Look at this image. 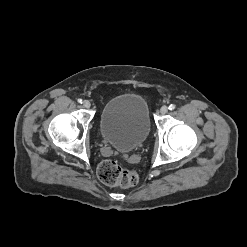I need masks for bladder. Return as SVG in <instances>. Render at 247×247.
<instances>
[{"label":"bladder","mask_w":247,"mask_h":247,"mask_svg":"<svg viewBox=\"0 0 247 247\" xmlns=\"http://www.w3.org/2000/svg\"><path fill=\"white\" fill-rule=\"evenodd\" d=\"M150 127L147 102L137 94L115 96L101 111V135L120 152H130L139 147L149 135Z\"/></svg>","instance_id":"1"}]
</instances>
